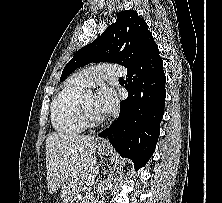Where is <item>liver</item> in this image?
Here are the masks:
<instances>
[{"label":"liver","mask_w":222,"mask_h":203,"mask_svg":"<svg viewBox=\"0 0 222 203\" xmlns=\"http://www.w3.org/2000/svg\"><path fill=\"white\" fill-rule=\"evenodd\" d=\"M97 139L68 133H54L46 139L48 192L53 194L96 167Z\"/></svg>","instance_id":"liver-1"}]
</instances>
